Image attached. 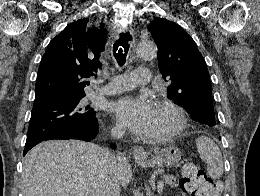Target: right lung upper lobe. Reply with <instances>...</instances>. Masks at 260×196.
<instances>
[{
	"mask_svg": "<svg viewBox=\"0 0 260 196\" xmlns=\"http://www.w3.org/2000/svg\"><path fill=\"white\" fill-rule=\"evenodd\" d=\"M106 44L104 24L89 28L88 18L69 25L49 43L41 60L34 105L55 97L84 93L96 77Z\"/></svg>",
	"mask_w": 260,
	"mask_h": 196,
	"instance_id": "1",
	"label": "right lung upper lobe"
}]
</instances>
